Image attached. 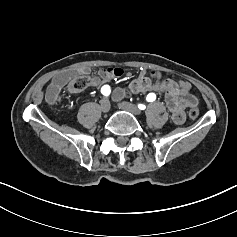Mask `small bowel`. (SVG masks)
Masks as SVG:
<instances>
[{"label":"small bowel","instance_id":"small-bowel-1","mask_svg":"<svg viewBox=\"0 0 237 237\" xmlns=\"http://www.w3.org/2000/svg\"><path fill=\"white\" fill-rule=\"evenodd\" d=\"M88 67H79L65 70L57 74L50 83L46 100L54 104L62 88L76 75L89 74ZM124 71L120 67H108L102 69L97 75L90 78V87H103L111 80L120 78ZM192 85L188 81H175L172 79L161 80V77L156 72L147 73L141 71L139 76L132 80L127 87V90L116 89L114 91V98L116 100L122 99L127 92H157L164 96L166 107L171 114L173 122L182 124L185 119V111L197 105V98L191 94Z\"/></svg>","mask_w":237,"mask_h":237}]
</instances>
